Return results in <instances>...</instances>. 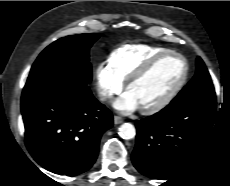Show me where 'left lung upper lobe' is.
Returning <instances> with one entry per match:
<instances>
[{
    "label": "left lung upper lobe",
    "mask_w": 230,
    "mask_h": 186,
    "mask_svg": "<svg viewBox=\"0 0 230 186\" xmlns=\"http://www.w3.org/2000/svg\"><path fill=\"white\" fill-rule=\"evenodd\" d=\"M215 94L209 72L200 57L197 58V71L193 79L185 86L172 102H180L195 96Z\"/></svg>",
    "instance_id": "obj_1"
}]
</instances>
